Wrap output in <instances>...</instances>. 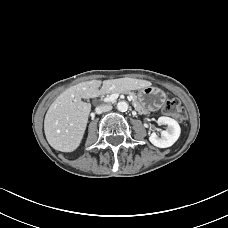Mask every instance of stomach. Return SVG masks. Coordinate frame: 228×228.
Masks as SVG:
<instances>
[{"label":"stomach","instance_id":"0dacf381","mask_svg":"<svg viewBox=\"0 0 228 228\" xmlns=\"http://www.w3.org/2000/svg\"><path fill=\"white\" fill-rule=\"evenodd\" d=\"M166 100V94L159 88L147 86L137 93V101L142 109L155 111L161 108Z\"/></svg>","mask_w":228,"mask_h":228}]
</instances>
